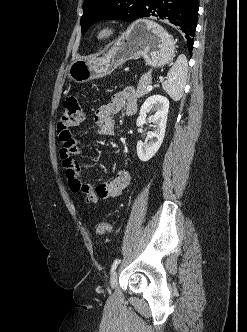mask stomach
<instances>
[{
    "label": "stomach",
    "mask_w": 247,
    "mask_h": 332,
    "mask_svg": "<svg viewBox=\"0 0 247 332\" xmlns=\"http://www.w3.org/2000/svg\"><path fill=\"white\" fill-rule=\"evenodd\" d=\"M175 45L172 37L157 23L140 19L134 22L103 57L73 60L68 79L85 83L109 75L128 60L143 57L146 64L161 68L173 60Z\"/></svg>",
    "instance_id": "0dacf381"
}]
</instances>
